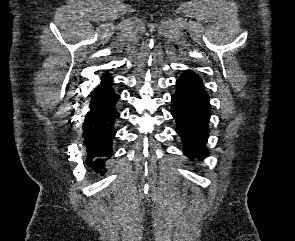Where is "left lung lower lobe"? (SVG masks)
Instances as JSON below:
<instances>
[{"label": "left lung lower lobe", "mask_w": 295, "mask_h": 241, "mask_svg": "<svg viewBox=\"0 0 295 241\" xmlns=\"http://www.w3.org/2000/svg\"><path fill=\"white\" fill-rule=\"evenodd\" d=\"M176 92L171 98V114L177 122L183 152L190 158L204 157L209 136V96L203 85L182 74L176 81Z\"/></svg>", "instance_id": "0a47b994"}]
</instances>
